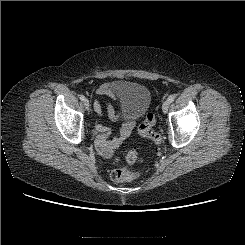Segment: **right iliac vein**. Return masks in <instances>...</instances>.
I'll return each mask as SVG.
<instances>
[{"instance_id": "right-iliac-vein-1", "label": "right iliac vein", "mask_w": 245, "mask_h": 245, "mask_svg": "<svg viewBox=\"0 0 245 245\" xmlns=\"http://www.w3.org/2000/svg\"><path fill=\"white\" fill-rule=\"evenodd\" d=\"M84 106H85V108H86L87 110H89V108H90V103H89V100H88V99H85V100H84Z\"/></svg>"}]
</instances>
